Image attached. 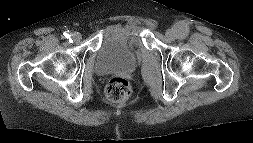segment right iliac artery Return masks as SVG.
<instances>
[{"instance_id": "obj_1", "label": "right iliac artery", "mask_w": 253, "mask_h": 143, "mask_svg": "<svg viewBox=\"0 0 253 143\" xmlns=\"http://www.w3.org/2000/svg\"><path fill=\"white\" fill-rule=\"evenodd\" d=\"M63 35H64L66 38H70V32H69V30H68V31H65V32L63 33Z\"/></svg>"}]
</instances>
